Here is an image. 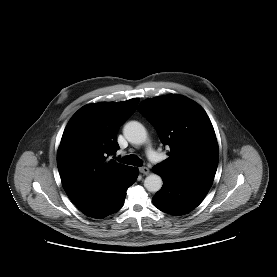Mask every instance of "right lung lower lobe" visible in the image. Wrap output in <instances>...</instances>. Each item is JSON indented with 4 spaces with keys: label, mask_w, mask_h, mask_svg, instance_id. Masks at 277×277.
Listing matches in <instances>:
<instances>
[{
    "label": "right lung lower lobe",
    "mask_w": 277,
    "mask_h": 277,
    "mask_svg": "<svg viewBox=\"0 0 277 277\" xmlns=\"http://www.w3.org/2000/svg\"><path fill=\"white\" fill-rule=\"evenodd\" d=\"M138 173L136 167L127 168L96 196L75 205L89 217L100 219L113 214L123 205L126 190L136 181Z\"/></svg>",
    "instance_id": "98d812e1"
}]
</instances>
